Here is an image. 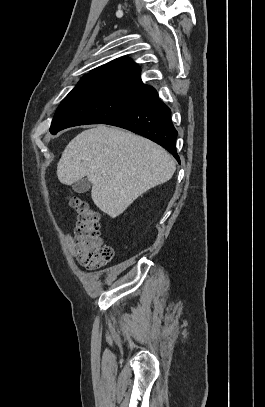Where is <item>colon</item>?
<instances>
[{
  "mask_svg": "<svg viewBox=\"0 0 265 407\" xmlns=\"http://www.w3.org/2000/svg\"><path fill=\"white\" fill-rule=\"evenodd\" d=\"M68 201L78 213L74 235L77 260L88 269L106 266L114 257V250L103 242L99 213L80 197L71 196Z\"/></svg>",
  "mask_w": 265,
  "mask_h": 407,
  "instance_id": "1",
  "label": "colon"
}]
</instances>
